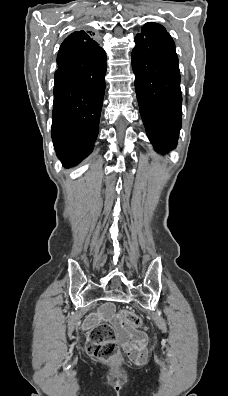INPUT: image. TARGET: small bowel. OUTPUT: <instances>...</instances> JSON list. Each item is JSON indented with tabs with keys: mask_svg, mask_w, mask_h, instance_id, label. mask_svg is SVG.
<instances>
[{
	"mask_svg": "<svg viewBox=\"0 0 228 396\" xmlns=\"http://www.w3.org/2000/svg\"><path fill=\"white\" fill-rule=\"evenodd\" d=\"M102 316L109 319L119 332L123 347L129 358L136 364H143L147 359V338L144 332L128 331L123 325L121 319L113 314L112 305H107Z\"/></svg>",
	"mask_w": 228,
	"mask_h": 396,
	"instance_id": "small-bowel-1",
	"label": "small bowel"
}]
</instances>
